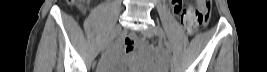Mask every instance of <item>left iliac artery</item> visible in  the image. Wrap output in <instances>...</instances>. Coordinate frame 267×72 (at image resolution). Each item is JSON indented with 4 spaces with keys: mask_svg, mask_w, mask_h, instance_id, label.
Instances as JSON below:
<instances>
[{
    "mask_svg": "<svg viewBox=\"0 0 267 72\" xmlns=\"http://www.w3.org/2000/svg\"><path fill=\"white\" fill-rule=\"evenodd\" d=\"M156 33L160 36L162 40V46H163L162 48L164 56L167 58V60L172 61L171 48L166 39L163 29L160 26H156Z\"/></svg>",
    "mask_w": 267,
    "mask_h": 72,
    "instance_id": "1",
    "label": "left iliac artery"
}]
</instances>
